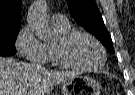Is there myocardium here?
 I'll return each instance as SVG.
<instances>
[{
	"label": "myocardium",
	"instance_id": "obj_1",
	"mask_svg": "<svg viewBox=\"0 0 135 95\" xmlns=\"http://www.w3.org/2000/svg\"><path fill=\"white\" fill-rule=\"evenodd\" d=\"M85 36L92 40L99 48L101 53V63L96 66H84L71 61L65 54V48L75 39L77 36ZM53 53L57 63L63 67L78 69L82 71H97L100 70L106 63L107 54L103 44L91 33L84 30H71L68 33L60 36L56 43L53 45Z\"/></svg>",
	"mask_w": 135,
	"mask_h": 95
}]
</instances>
